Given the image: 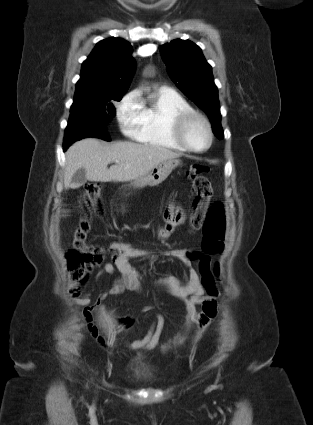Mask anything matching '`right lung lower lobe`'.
Returning a JSON list of instances; mask_svg holds the SVG:
<instances>
[{
  "mask_svg": "<svg viewBox=\"0 0 313 425\" xmlns=\"http://www.w3.org/2000/svg\"><path fill=\"white\" fill-rule=\"evenodd\" d=\"M104 124L90 117H79L73 125H68L64 136V151L75 141L86 137L101 138L110 141Z\"/></svg>",
  "mask_w": 313,
  "mask_h": 425,
  "instance_id": "right-lung-lower-lobe-1",
  "label": "right lung lower lobe"
}]
</instances>
